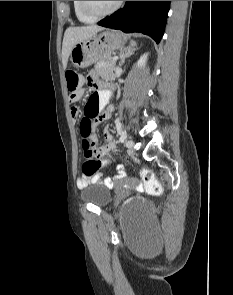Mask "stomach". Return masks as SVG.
I'll list each match as a JSON object with an SVG mask.
<instances>
[{
    "label": "stomach",
    "instance_id": "0dacf381",
    "mask_svg": "<svg viewBox=\"0 0 233 295\" xmlns=\"http://www.w3.org/2000/svg\"><path fill=\"white\" fill-rule=\"evenodd\" d=\"M124 35L115 30H106L76 43L70 52V60L77 68H86L95 62L110 59L112 52L122 49Z\"/></svg>",
    "mask_w": 233,
    "mask_h": 295
}]
</instances>
